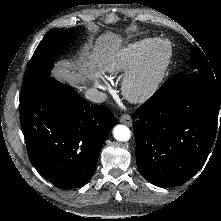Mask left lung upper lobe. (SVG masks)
<instances>
[{"label":"left lung upper lobe","mask_w":221,"mask_h":221,"mask_svg":"<svg viewBox=\"0 0 221 221\" xmlns=\"http://www.w3.org/2000/svg\"><path fill=\"white\" fill-rule=\"evenodd\" d=\"M190 63L194 70L193 73L214 77V73L212 71L211 66L208 63L207 58L202 53V51L196 46L193 47V51L190 57ZM175 76H188V75H186L184 72H180Z\"/></svg>","instance_id":"5c2ea615"}]
</instances>
